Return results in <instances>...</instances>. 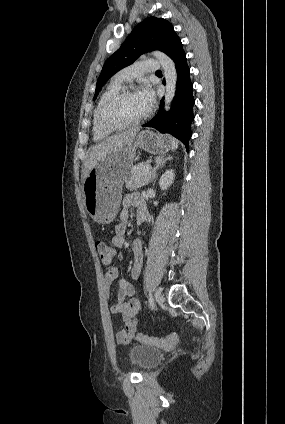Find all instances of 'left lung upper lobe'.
Instances as JSON below:
<instances>
[{
  "mask_svg": "<svg viewBox=\"0 0 285 424\" xmlns=\"http://www.w3.org/2000/svg\"><path fill=\"white\" fill-rule=\"evenodd\" d=\"M177 39L172 24L163 18L149 17L136 25L122 46L105 62L97 80L94 100L116 72L149 51L160 50L168 55Z\"/></svg>",
  "mask_w": 285,
  "mask_h": 424,
  "instance_id": "1",
  "label": "left lung upper lobe"
}]
</instances>
